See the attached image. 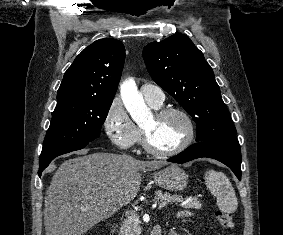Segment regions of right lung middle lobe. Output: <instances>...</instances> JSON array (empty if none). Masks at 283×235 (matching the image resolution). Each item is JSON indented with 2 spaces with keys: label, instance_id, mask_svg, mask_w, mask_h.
Returning <instances> with one entry per match:
<instances>
[{
  "label": "right lung middle lobe",
  "instance_id": "1",
  "mask_svg": "<svg viewBox=\"0 0 283 235\" xmlns=\"http://www.w3.org/2000/svg\"><path fill=\"white\" fill-rule=\"evenodd\" d=\"M112 99L71 98L57 102L39 162L78 143L101 135Z\"/></svg>",
  "mask_w": 283,
  "mask_h": 235
}]
</instances>
